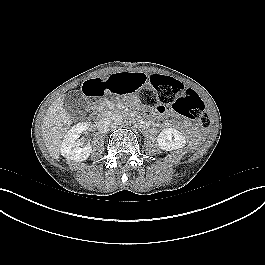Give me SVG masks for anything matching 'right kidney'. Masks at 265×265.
I'll return each instance as SVG.
<instances>
[{"label": "right kidney", "instance_id": "obj_1", "mask_svg": "<svg viewBox=\"0 0 265 265\" xmlns=\"http://www.w3.org/2000/svg\"><path fill=\"white\" fill-rule=\"evenodd\" d=\"M88 129L87 123H78L74 125L64 136L61 144L60 153L66 159L74 161H84L92 153V146L85 145L83 148L80 146L82 142L78 140L80 134Z\"/></svg>", "mask_w": 265, "mask_h": 265}]
</instances>
